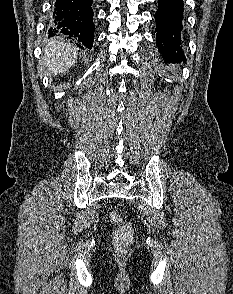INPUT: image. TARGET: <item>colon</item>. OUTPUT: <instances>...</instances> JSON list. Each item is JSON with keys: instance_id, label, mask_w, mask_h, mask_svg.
Here are the masks:
<instances>
[{"instance_id": "1", "label": "colon", "mask_w": 233, "mask_h": 294, "mask_svg": "<svg viewBox=\"0 0 233 294\" xmlns=\"http://www.w3.org/2000/svg\"><path fill=\"white\" fill-rule=\"evenodd\" d=\"M110 221L116 226L113 233V244L118 250H125L133 241V230L131 225L126 222L118 211H111Z\"/></svg>"}]
</instances>
